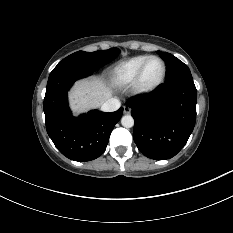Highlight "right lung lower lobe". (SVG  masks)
Here are the masks:
<instances>
[{
  "instance_id": "1",
  "label": "right lung lower lobe",
  "mask_w": 233,
  "mask_h": 233,
  "mask_svg": "<svg viewBox=\"0 0 233 233\" xmlns=\"http://www.w3.org/2000/svg\"><path fill=\"white\" fill-rule=\"evenodd\" d=\"M91 72H62L50 75L44 98L46 130L57 149L75 161H90L106 150L110 134L120 120L123 108L112 113L92 110L73 117L67 91L72 84Z\"/></svg>"
}]
</instances>
